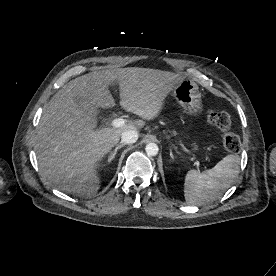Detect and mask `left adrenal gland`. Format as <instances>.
Here are the masks:
<instances>
[{
  "label": "left adrenal gland",
  "instance_id": "a2214340",
  "mask_svg": "<svg viewBox=\"0 0 276 276\" xmlns=\"http://www.w3.org/2000/svg\"><path fill=\"white\" fill-rule=\"evenodd\" d=\"M170 157H171L172 159H174V155H173V153H172V150H170Z\"/></svg>",
  "mask_w": 276,
  "mask_h": 276
}]
</instances>
